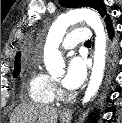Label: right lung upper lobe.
I'll use <instances>...</instances> for the list:
<instances>
[{
	"label": "right lung upper lobe",
	"instance_id": "1",
	"mask_svg": "<svg viewBox=\"0 0 122 123\" xmlns=\"http://www.w3.org/2000/svg\"><path fill=\"white\" fill-rule=\"evenodd\" d=\"M20 55L21 53L18 52L15 56V67L20 66Z\"/></svg>",
	"mask_w": 122,
	"mask_h": 123
}]
</instances>
